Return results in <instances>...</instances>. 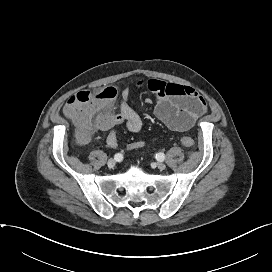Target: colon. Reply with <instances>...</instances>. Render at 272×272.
I'll return each mask as SVG.
<instances>
[{"label":"colon","mask_w":272,"mask_h":272,"mask_svg":"<svg viewBox=\"0 0 272 272\" xmlns=\"http://www.w3.org/2000/svg\"><path fill=\"white\" fill-rule=\"evenodd\" d=\"M115 97V89L107 87L93 91H80L67 100L64 112L76 125L80 141L85 142L90 138L99 117L110 109ZM181 143L185 147L194 146V140L188 136L182 137Z\"/></svg>","instance_id":"obj_1"}]
</instances>
